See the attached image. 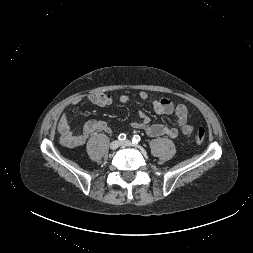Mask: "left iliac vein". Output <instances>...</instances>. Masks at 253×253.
I'll return each mask as SVG.
<instances>
[{
  "label": "left iliac vein",
  "mask_w": 253,
  "mask_h": 253,
  "mask_svg": "<svg viewBox=\"0 0 253 253\" xmlns=\"http://www.w3.org/2000/svg\"><path fill=\"white\" fill-rule=\"evenodd\" d=\"M120 144H121V146H124V147L132 146V142L130 140L122 141Z\"/></svg>",
  "instance_id": "1"
}]
</instances>
